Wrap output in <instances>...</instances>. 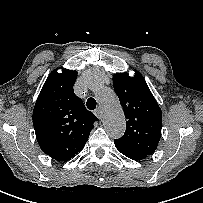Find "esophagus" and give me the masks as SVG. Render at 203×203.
<instances>
[{"label":"esophagus","mask_w":203,"mask_h":203,"mask_svg":"<svg viewBox=\"0 0 203 203\" xmlns=\"http://www.w3.org/2000/svg\"><path fill=\"white\" fill-rule=\"evenodd\" d=\"M95 115L101 120L102 119V111L100 108L95 110Z\"/></svg>","instance_id":"34e87169"}]
</instances>
